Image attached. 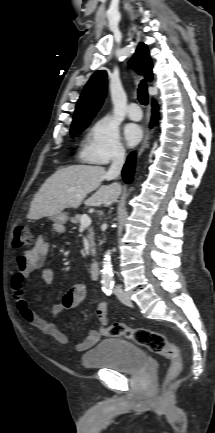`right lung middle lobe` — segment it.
Returning <instances> with one entry per match:
<instances>
[{"instance_id": "obj_1", "label": "right lung middle lobe", "mask_w": 215, "mask_h": 433, "mask_svg": "<svg viewBox=\"0 0 215 433\" xmlns=\"http://www.w3.org/2000/svg\"><path fill=\"white\" fill-rule=\"evenodd\" d=\"M89 123H90V120L85 121V122L72 123V125H71L72 137L75 136L77 132L83 131L88 126Z\"/></svg>"}]
</instances>
